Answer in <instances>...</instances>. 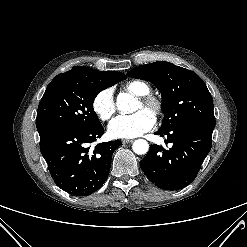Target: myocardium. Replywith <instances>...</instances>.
Here are the masks:
<instances>
[{
    "label": "myocardium",
    "instance_id": "1",
    "mask_svg": "<svg viewBox=\"0 0 247 247\" xmlns=\"http://www.w3.org/2000/svg\"><path fill=\"white\" fill-rule=\"evenodd\" d=\"M139 102L141 105L148 109L154 116H158L162 113V101L151 94L139 96Z\"/></svg>",
    "mask_w": 247,
    "mask_h": 247
}]
</instances>
